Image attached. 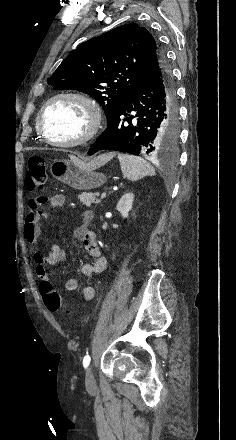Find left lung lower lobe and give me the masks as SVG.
<instances>
[{"label":"left lung lower lobe","mask_w":236,"mask_h":440,"mask_svg":"<svg viewBox=\"0 0 236 440\" xmlns=\"http://www.w3.org/2000/svg\"><path fill=\"white\" fill-rule=\"evenodd\" d=\"M136 112L135 115L131 114ZM177 94L164 54L151 58L136 88L127 96L88 155L109 149L133 155L173 144L178 134Z\"/></svg>","instance_id":"obj_1"}]
</instances>
